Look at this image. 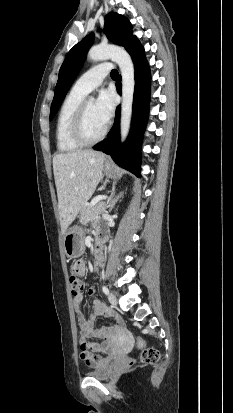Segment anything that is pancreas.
Instances as JSON below:
<instances>
[{"label":"pancreas","instance_id":"cf45deb5","mask_svg":"<svg viewBox=\"0 0 233 413\" xmlns=\"http://www.w3.org/2000/svg\"><path fill=\"white\" fill-rule=\"evenodd\" d=\"M105 208V203L104 202H98L94 206L91 204L84 205L82 209L80 210V223L82 225L88 224L90 221H93L98 215L102 214L104 212Z\"/></svg>","mask_w":233,"mask_h":413}]
</instances>
